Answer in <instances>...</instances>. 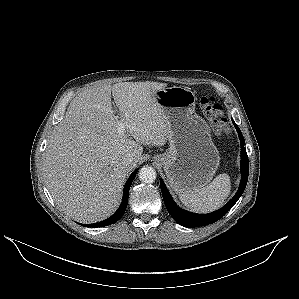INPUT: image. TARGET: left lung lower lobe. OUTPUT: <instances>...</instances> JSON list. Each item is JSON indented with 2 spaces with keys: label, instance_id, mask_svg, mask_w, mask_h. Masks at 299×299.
Segmentation results:
<instances>
[{
  "label": "left lung lower lobe",
  "instance_id": "1",
  "mask_svg": "<svg viewBox=\"0 0 299 299\" xmlns=\"http://www.w3.org/2000/svg\"><path fill=\"white\" fill-rule=\"evenodd\" d=\"M232 122L236 128V131L238 132V135L240 138V143H241L242 178H241L240 186L238 188L237 193L224 207H222L221 209H219L215 212L205 214V215H199V214H194V213L184 211V210L180 209L175 204V202L173 201L171 195L169 194L164 182L162 180H160L162 196H163L164 203H165V206H166L168 212L171 214V216L177 223H179L180 225H182L184 227L194 228V227L204 226V225L216 222L221 217H223L234 206V204L238 201V199L244 192V189L246 187L247 180H248V174H249V161H248L246 149L244 147L245 140L243 138V135H242L239 127L233 121V119H232Z\"/></svg>",
  "mask_w": 299,
  "mask_h": 299
}]
</instances>
